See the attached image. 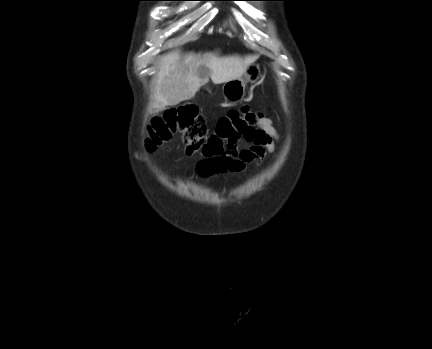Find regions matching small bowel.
Returning <instances> with one entry per match:
<instances>
[{"label": "small bowel", "instance_id": "small-bowel-1", "mask_svg": "<svg viewBox=\"0 0 432 349\" xmlns=\"http://www.w3.org/2000/svg\"><path fill=\"white\" fill-rule=\"evenodd\" d=\"M279 138L273 121L270 118H261L258 120L257 125L251 129L250 134L243 138L246 146L244 148L236 147L224 157L221 160V168L200 161L197 164V172L202 177L224 173L225 171L244 174L247 167H258L268 153L274 152Z\"/></svg>", "mask_w": 432, "mask_h": 349}]
</instances>
